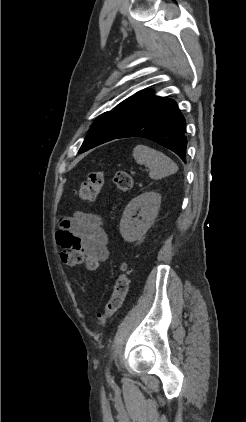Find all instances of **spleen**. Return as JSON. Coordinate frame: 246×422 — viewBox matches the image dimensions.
<instances>
[{
  "label": "spleen",
  "mask_w": 246,
  "mask_h": 422,
  "mask_svg": "<svg viewBox=\"0 0 246 422\" xmlns=\"http://www.w3.org/2000/svg\"><path fill=\"white\" fill-rule=\"evenodd\" d=\"M132 155L138 164L146 165L149 168V176L153 179H161L178 170V166L172 159L145 145H137L133 149Z\"/></svg>",
  "instance_id": "3e777b00"
}]
</instances>
